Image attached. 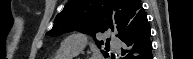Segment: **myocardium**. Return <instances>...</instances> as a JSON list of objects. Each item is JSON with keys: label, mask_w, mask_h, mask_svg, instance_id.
Instances as JSON below:
<instances>
[{"label": "myocardium", "mask_w": 193, "mask_h": 59, "mask_svg": "<svg viewBox=\"0 0 193 59\" xmlns=\"http://www.w3.org/2000/svg\"><path fill=\"white\" fill-rule=\"evenodd\" d=\"M74 59H82V58H74Z\"/></svg>", "instance_id": "1"}]
</instances>
